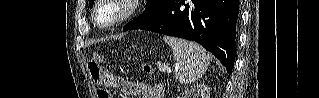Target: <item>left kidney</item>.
<instances>
[{
    "instance_id": "left-kidney-1",
    "label": "left kidney",
    "mask_w": 319,
    "mask_h": 98,
    "mask_svg": "<svg viewBox=\"0 0 319 98\" xmlns=\"http://www.w3.org/2000/svg\"><path fill=\"white\" fill-rule=\"evenodd\" d=\"M211 88L205 84H197L187 88L182 98H210Z\"/></svg>"
}]
</instances>
